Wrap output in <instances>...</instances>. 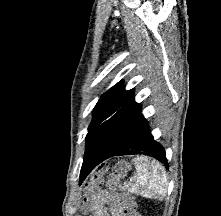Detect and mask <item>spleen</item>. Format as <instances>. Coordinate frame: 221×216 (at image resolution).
<instances>
[{
  "mask_svg": "<svg viewBox=\"0 0 221 216\" xmlns=\"http://www.w3.org/2000/svg\"><path fill=\"white\" fill-rule=\"evenodd\" d=\"M134 165L136 168L134 192L147 198H165L168 181L164 166L147 157L136 158Z\"/></svg>",
  "mask_w": 221,
  "mask_h": 216,
  "instance_id": "spleen-1",
  "label": "spleen"
}]
</instances>
